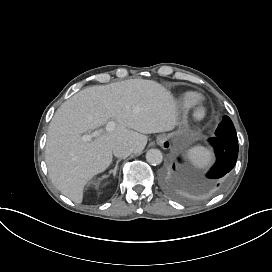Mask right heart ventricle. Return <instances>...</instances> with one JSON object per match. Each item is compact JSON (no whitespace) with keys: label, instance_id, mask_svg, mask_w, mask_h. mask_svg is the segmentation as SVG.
Returning <instances> with one entry per match:
<instances>
[{"label":"right heart ventricle","instance_id":"e07e8e85","mask_svg":"<svg viewBox=\"0 0 272 272\" xmlns=\"http://www.w3.org/2000/svg\"><path fill=\"white\" fill-rule=\"evenodd\" d=\"M197 96L198 94L195 91L186 90L180 94L179 100L181 103L185 104L186 102H188L189 100L193 98H196Z\"/></svg>","mask_w":272,"mask_h":272}]
</instances>
